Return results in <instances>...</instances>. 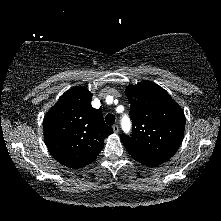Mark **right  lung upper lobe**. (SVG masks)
<instances>
[{
  "instance_id": "right-lung-upper-lobe-1",
  "label": "right lung upper lobe",
  "mask_w": 221,
  "mask_h": 221,
  "mask_svg": "<svg viewBox=\"0 0 221 221\" xmlns=\"http://www.w3.org/2000/svg\"><path fill=\"white\" fill-rule=\"evenodd\" d=\"M93 94L81 87L65 92L47 112L43 129L46 144L54 158L70 168L90 164L113 130L102 113L91 105Z\"/></svg>"
}]
</instances>
